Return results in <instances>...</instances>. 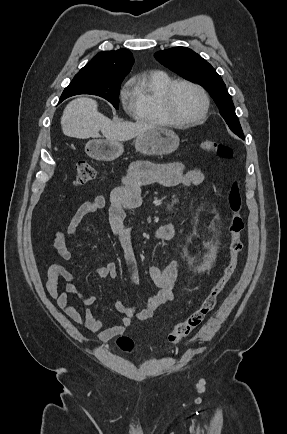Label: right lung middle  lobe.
I'll return each instance as SVG.
<instances>
[{
	"label": "right lung middle lobe",
	"instance_id": "obj_1",
	"mask_svg": "<svg viewBox=\"0 0 287 434\" xmlns=\"http://www.w3.org/2000/svg\"><path fill=\"white\" fill-rule=\"evenodd\" d=\"M121 80H109L105 78L83 77L75 75L74 79L64 89L59 103L64 99L78 94H92L109 101L116 109L119 108V91Z\"/></svg>",
	"mask_w": 287,
	"mask_h": 434
}]
</instances>
